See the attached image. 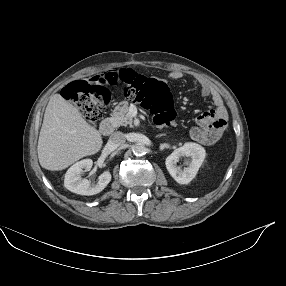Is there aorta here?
Instances as JSON below:
<instances>
[{"label":"aorta","instance_id":"762f6f07","mask_svg":"<svg viewBox=\"0 0 286 286\" xmlns=\"http://www.w3.org/2000/svg\"><path fill=\"white\" fill-rule=\"evenodd\" d=\"M132 150L136 156H142L146 154L147 148L143 143H136Z\"/></svg>","mask_w":286,"mask_h":286}]
</instances>
